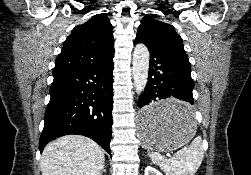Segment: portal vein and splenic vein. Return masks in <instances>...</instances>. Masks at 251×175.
Returning <instances> with one entry per match:
<instances>
[{"instance_id": "obj_1", "label": "portal vein and splenic vein", "mask_w": 251, "mask_h": 175, "mask_svg": "<svg viewBox=\"0 0 251 175\" xmlns=\"http://www.w3.org/2000/svg\"><path fill=\"white\" fill-rule=\"evenodd\" d=\"M175 155V152L174 151H167L165 154H164V157L165 158H171L172 156Z\"/></svg>"}]
</instances>
